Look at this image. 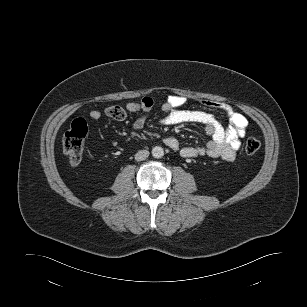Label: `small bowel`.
<instances>
[{"label": "small bowel", "instance_id": "1", "mask_svg": "<svg viewBox=\"0 0 307 307\" xmlns=\"http://www.w3.org/2000/svg\"><path fill=\"white\" fill-rule=\"evenodd\" d=\"M185 101V98L179 95L169 96L162 106L164 112V117L161 120L162 123L169 126L188 123L201 124L210 139L203 146H185L180 148L179 142L175 137L166 136L163 138L164 144L173 150H179L183 158L207 156L210 158H221L228 162L234 161L236 152L241 145V139L245 136L248 126L245 116L235 111L232 106L226 103L203 101L205 106L218 109L227 115L230 125L224 128L215 116L208 111L182 109ZM153 104L152 98L144 97L140 101L129 102L124 107L118 105L109 106L105 109V115L122 121L127 117L128 113L142 112L143 115L133 123V130L139 131L144 127ZM101 116L102 113L99 110H91L89 112V118L92 120H98Z\"/></svg>", "mask_w": 307, "mask_h": 307}]
</instances>
